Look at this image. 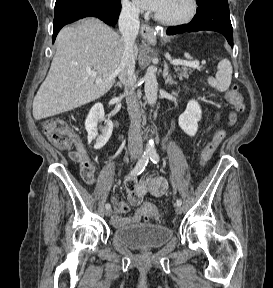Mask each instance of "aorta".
I'll use <instances>...</instances> for the list:
<instances>
[{
	"mask_svg": "<svg viewBox=\"0 0 273 288\" xmlns=\"http://www.w3.org/2000/svg\"><path fill=\"white\" fill-rule=\"evenodd\" d=\"M156 71L157 69L154 66H150L144 76L145 96L149 105L151 106L156 104L157 101L158 83L156 79ZM145 152L147 155H153L156 153L155 146L152 141L147 144Z\"/></svg>",
	"mask_w": 273,
	"mask_h": 288,
	"instance_id": "aorta-1",
	"label": "aorta"
}]
</instances>
